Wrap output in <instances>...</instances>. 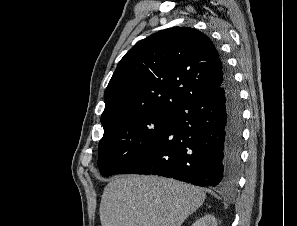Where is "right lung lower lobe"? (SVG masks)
<instances>
[{"mask_svg": "<svg viewBox=\"0 0 297 226\" xmlns=\"http://www.w3.org/2000/svg\"><path fill=\"white\" fill-rule=\"evenodd\" d=\"M224 81L177 109L171 126L117 174H153L219 190L238 181L242 103L224 64Z\"/></svg>", "mask_w": 297, "mask_h": 226, "instance_id": "1", "label": "right lung lower lobe"}]
</instances>
